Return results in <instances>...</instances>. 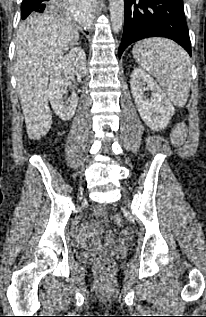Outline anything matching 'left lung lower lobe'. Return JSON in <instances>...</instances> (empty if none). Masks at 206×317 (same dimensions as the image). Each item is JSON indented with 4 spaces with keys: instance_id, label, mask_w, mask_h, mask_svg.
Instances as JSON below:
<instances>
[{
    "instance_id": "0a47b994",
    "label": "left lung lower lobe",
    "mask_w": 206,
    "mask_h": 317,
    "mask_svg": "<svg viewBox=\"0 0 206 317\" xmlns=\"http://www.w3.org/2000/svg\"><path fill=\"white\" fill-rule=\"evenodd\" d=\"M125 24L119 58L133 42L166 37L180 44L191 56L183 0H124Z\"/></svg>"
}]
</instances>
